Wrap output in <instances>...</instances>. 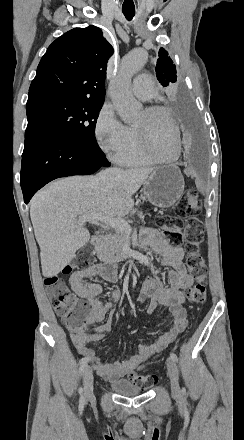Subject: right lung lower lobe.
Returning <instances> with one entry per match:
<instances>
[{"mask_svg":"<svg viewBox=\"0 0 244 440\" xmlns=\"http://www.w3.org/2000/svg\"><path fill=\"white\" fill-rule=\"evenodd\" d=\"M102 166L109 163L98 145H87L51 130L26 129L20 181L24 202L56 178L89 175Z\"/></svg>","mask_w":244,"mask_h":440,"instance_id":"98d812e1","label":"right lung lower lobe"}]
</instances>
